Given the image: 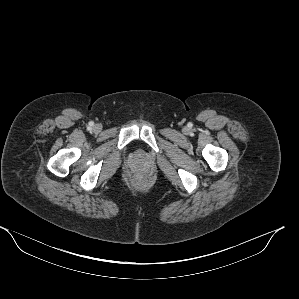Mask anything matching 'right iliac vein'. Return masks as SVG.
Returning <instances> with one entry per match:
<instances>
[{
    "label": "right iliac vein",
    "instance_id": "1",
    "mask_svg": "<svg viewBox=\"0 0 299 299\" xmlns=\"http://www.w3.org/2000/svg\"><path fill=\"white\" fill-rule=\"evenodd\" d=\"M101 127L99 125L94 126V131L100 132Z\"/></svg>",
    "mask_w": 299,
    "mask_h": 299
}]
</instances>
